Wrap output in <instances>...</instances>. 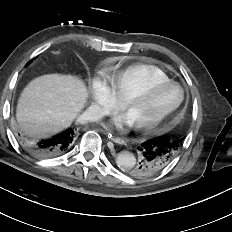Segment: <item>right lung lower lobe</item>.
<instances>
[{"label": "right lung lower lobe", "mask_w": 232, "mask_h": 232, "mask_svg": "<svg viewBox=\"0 0 232 232\" xmlns=\"http://www.w3.org/2000/svg\"><path fill=\"white\" fill-rule=\"evenodd\" d=\"M18 138L24 149L36 158H52L69 150L74 142L75 133L69 128L47 139H39L18 132Z\"/></svg>", "instance_id": "right-lung-lower-lobe-1"}]
</instances>
